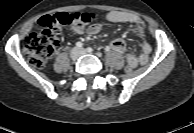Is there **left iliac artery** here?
<instances>
[{
  "mask_svg": "<svg viewBox=\"0 0 194 133\" xmlns=\"http://www.w3.org/2000/svg\"><path fill=\"white\" fill-rule=\"evenodd\" d=\"M87 51H88V52H92L93 49H92L91 47H88V48H87Z\"/></svg>",
  "mask_w": 194,
  "mask_h": 133,
  "instance_id": "left-iliac-artery-1",
  "label": "left iliac artery"
}]
</instances>
